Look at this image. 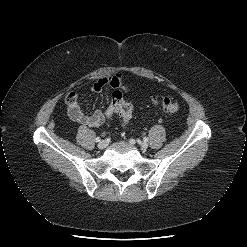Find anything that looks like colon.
<instances>
[{
  "mask_svg": "<svg viewBox=\"0 0 247 247\" xmlns=\"http://www.w3.org/2000/svg\"><path fill=\"white\" fill-rule=\"evenodd\" d=\"M76 100L77 96L75 93H71L67 98V102L69 104L76 102ZM152 102L155 106L160 107L164 112L167 113H175L179 110L178 102L175 99L168 96H154L152 98ZM132 113L133 108L129 103H127L123 99L122 93L120 91H114L111 97L110 105L106 110V117L110 118L113 114H118L122 119V123L126 125L131 119Z\"/></svg>",
  "mask_w": 247,
  "mask_h": 247,
  "instance_id": "5ec220e1",
  "label": "colon"
}]
</instances>
